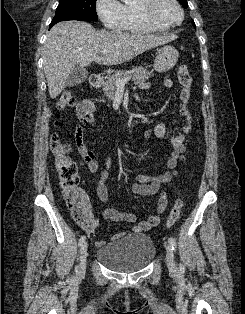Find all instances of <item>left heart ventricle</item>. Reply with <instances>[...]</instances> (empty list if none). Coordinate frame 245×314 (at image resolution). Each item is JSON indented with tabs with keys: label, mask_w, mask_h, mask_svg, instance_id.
Returning a JSON list of instances; mask_svg holds the SVG:
<instances>
[{
	"label": "left heart ventricle",
	"mask_w": 245,
	"mask_h": 314,
	"mask_svg": "<svg viewBox=\"0 0 245 314\" xmlns=\"http://www.w3.org/2000/svg\"><path fill=\"white\" fill-rule=\"evenodd\" d=\"M158 14L161 18L171 23H178L181 20L180 11L170 0H162L160 2Z\"/></svg>",
	"instance_id": "b2bd125f"
}]
</instances>
